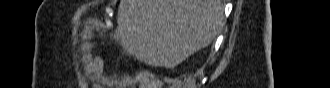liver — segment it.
<instances>
[{
	"label": "liver",
	"instance_id": "obj_1",
	"mask_svg": "<svg viewBox=\"0 0 330 88\" xmlns=\"http://www.w3.org/2000/svg\"><path fill=\"white\" fill-rule=\"evenodd\" d=\"M223 9L221 0H121L112 37L126 55L174 68L215 39Z\"/></svg>",
	"mask_w": 330,
	"mask_h": 88
}]
</instances>
